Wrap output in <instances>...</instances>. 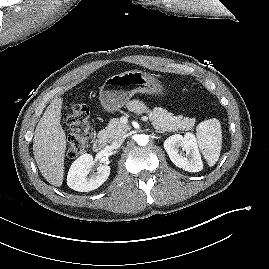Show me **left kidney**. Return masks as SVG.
Listing matches in <instances>:
<instances>
[{"mask_svg":"<svg viewBox=\"0 0 269 269\" xmlns=\"http://www.w3.org/2000/svg\"><path fill=\"white\" fill-rule=\"evenodd\" d=\"M164 149L177 167L188 172H199L203 169L196 139L192 133L170 136L164 142Z\"/></svg>","mask_w":269,"mask_h":269,"instance_id":"left-kidney-1","label":"left kidney"}]
</instances>
